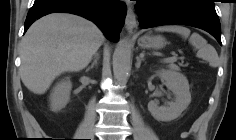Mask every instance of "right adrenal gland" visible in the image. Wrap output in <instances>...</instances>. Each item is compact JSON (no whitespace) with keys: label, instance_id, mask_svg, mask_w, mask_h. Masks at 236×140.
Listing matches in <instances>:
<instances>
[{"label":"right adrenal gland","instance_id":"2a0ac1e0","mask_svg":"<svg viewBox=\"0 0 236 140\" xmlns=\"http://www.w3.org/2000/svg\"><path fill=\"white\" fill-rule=\"evenodd\" d=\"M99 53H95L93 57V62L91 63V66L88 69H92L94 66H97L98 60H99Z\"/></svg>","mask_w":236,"mask_h":140}]
</instances>
